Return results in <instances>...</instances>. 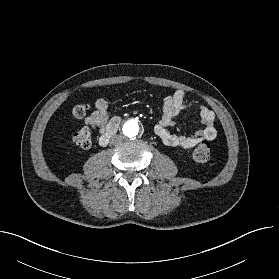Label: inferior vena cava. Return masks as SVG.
Segmentation results:
<instances>
[{
    "mask_svg": "<svg viewBox=\"0 0 279 279\" xmlns=\"http://www.w3.org/2000/svg\"><path fill=\"white\" fill-rule=\"evenodd\" d=\"M123 139L120 135H115L111 138L110 143L113 145H118L120 143H122Z\"/></svg>",
    "mask_w": 279,
    "mask_h": 279,
    "instance_id": "1",
    "label": "inferior vena cava"
}]
</instances>
